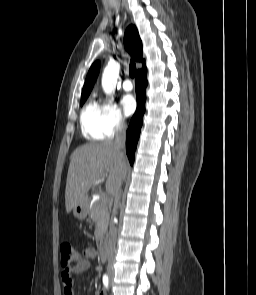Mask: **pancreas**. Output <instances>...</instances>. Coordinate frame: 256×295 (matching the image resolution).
<instances>
[{
    "instance_id": "obj_1",
    "label": "pancreas",
    "mask_w": 256,
    "mask_h": 295,
    "mask_svg": "<svg viewBox=\"0 0 256 295\" xmlns=\"http://www.w3.org/2000/svg\"><path fill=\"white\" fill-rule=\"evenodd\" d=\"M90 217L92 221L96 224V241L101 242L105 232L107 231L109 222L108 203L104 200L94 202L90 209Z\"/></svg>"
}]
</instances>
